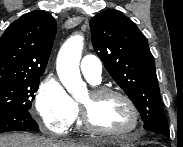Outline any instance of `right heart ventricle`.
Segmentation results:
<instances>
[{
  "label": "right heart ventricle",
  "mask_w": 183,
  "mask_h": 147,
  "mask_svg": "<svg viewBox=\"0 0 183 147\" xmlns=\"http://www.w3.org/2000/svg\"><path fill=\"white\" fill-rule=\"evenodd\" d=\"M76 106H77V117H79L78 119V125L81 126L82 125V122L80 120V108L78 106V104L76 103Z\"/></svg>",
  "instance_id": "right-heart-ventricle-1"
}]
</instances>
